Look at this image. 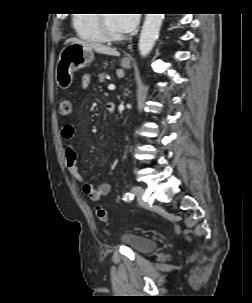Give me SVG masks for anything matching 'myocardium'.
<instances>
[{
	"mask_svg": "<svg viewBox=\"0 0 252 303\" xmlns=\"http://www.w3.org/2000/svg\"><path fill=\"white\" fill-rule=\"evenodd\" d=\"M99 15V24H100V28H101V31L104 35V38L106 40H109V41H120V40H123L126 35L124 33L122 34H117V33H114L113 31H111L108 26H107V22H106V15L105 14H98Z\"/></svg>",
	"mask_w": 252,
	"mask_h": 303,
	"instance_id": "f54148a6",
	"label": "myocardium"
}]
</instances>
